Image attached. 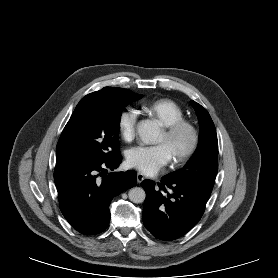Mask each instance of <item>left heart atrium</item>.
<instances>
[{"instance_id":"39dd6f15","label":"left heart atrium","mask_w":278,"mask_h":278,"mask_svg":"<svg viewBox=\"0 0 278 278\" xmlns=\"http://www.w3.org/2000/svg\"><path fill=\"white\" fill-rule=\"evenodd\" d=\"M170 160L171 157L162 144L134 147L127 154L128 165L146 175L158 173Z\"/></svg>"}]
</instances>
